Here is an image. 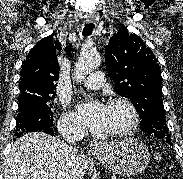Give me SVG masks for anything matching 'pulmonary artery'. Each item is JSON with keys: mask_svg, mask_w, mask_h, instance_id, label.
<instances>
[{"mask_svg": "<svg viewBox=\"0 0 183 179\" xmlns=\"http://www.w3.org/2000/svg\"><path fill=\"white\" fill-rule=\"evenodd\" d=\"M104 74L101 71H96L90 74L84 81L83 86L88 89H99L104 85Z\"/></svg>", "mask_w": 183, "mask_h": 179, "instance_id": "pulmonary-artery-1", "label": "pulmonary artery"}]
</instances>
